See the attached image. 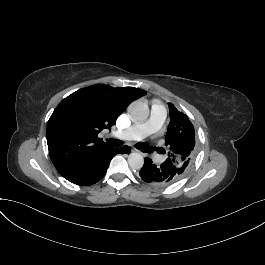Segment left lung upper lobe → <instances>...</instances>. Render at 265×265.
Instances as JSON below:
<instances>
[{"label":"left lung upper lobe","instance_id":"1","mask_svg":"<svg viewBox=\"0 0 265 265\" xmlns=\"http://www.w3.org/2000/svg\"><path fill=\"white\" fill-rule=\"evenodd\" d=\"M170 123L165 137L168 148L166 161L173 163L180 170L182 177L187 171L194 155L195 131L187 115L169 103ZM163 153L165 150L161 148Z\"/></svg>","mask_w":265,"mask_h":265}]
</instances>
